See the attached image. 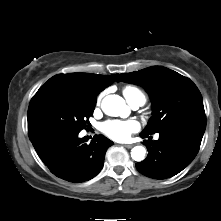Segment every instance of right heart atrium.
<instances>
[{"label":"right heart atrium","mask_w":221,"mask_h":221,"mask_svg":"<svg viewBox=\"0 0 221 221\" xmlns=\"http://www.w3.org/2000/svg\"><path fill=\"white\" fill-rule=\"evenodd\" d=\"M100 99H101V97H99V99H98V103L100 102Z\"/></svg>","instance_id":"1"}]
</instances>
